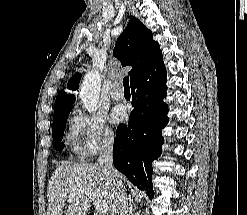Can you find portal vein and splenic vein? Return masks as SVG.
I'll return each mask as SVG.
<instances>
[{
    "label": "portal vein and splenic vein",
    "mask_w": 247,
    "mask_h": 215,
    "mask_svg": "<svg viewBox=\"0 0 247 215\" xmlns=\"http://www.w3.org/2000/svg\"><path fill=\"white\" fill-rule=\"evenodd\" d=\"M86 196H88L90 199L93 200V203H94V206L96 208V210L98 212H101V213H106L108 211V206L106 204V202L102 201V200H99V199H96L94 200V194L92 191L90 190H83L82 191ZM75 198V194L70 196L69 197V200H72Z\"/></svg>",
    "instance_id": "portal-vein-and-splenic-vein-1"
}]
</instances>
